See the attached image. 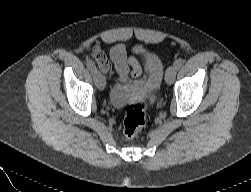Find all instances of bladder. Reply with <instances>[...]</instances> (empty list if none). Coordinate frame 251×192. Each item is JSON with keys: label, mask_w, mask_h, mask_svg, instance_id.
I'll use <instances>...</instances> for the list:
<instances>
[{"label": "bladder", "mask_w": 251, "mask_h": 192, "mask_svg": "<svg viewBox=\"0 0 251 192\" xmlns=\"http://www.w3.org/2000/svg\"><path fill=\"white\" fill-rule=\"evenodd\" d=\"M147 76L145 80L135 89L130 90L124 85L114 84L109 91V100L113 107L123 108L136 99L153 101L159 89L163 74L164 64L162 59L150 52L146 59Z\"/></svg>", "instance_id": "31cf9c89"}]
</instances>
